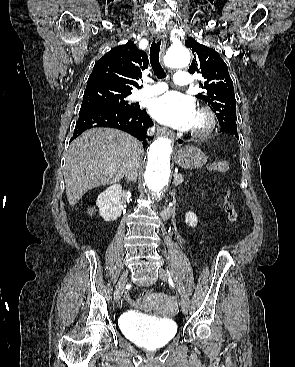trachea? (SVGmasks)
<instances>
[{
    "mask_svg": "<svg viewBox=\"0 0 295 367\" xmlns=\"http://www.w3.org/2000/svg\"><path fill=\"white\" fill-rule=\"evenodd\" d=\"M160 45L161 40L157 42L153 41L150 48V63L154 74L157 76V78L162 79L166 74L159 62Z\"/></svg>",
    "mask_w": 295,
    "mask_h": 367,
    "instance_id": "1",
    "label": "trachea"
}]
</instances>
